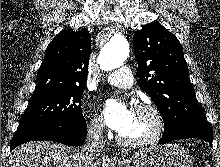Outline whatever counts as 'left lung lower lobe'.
Listing matches in <instances>:
<instances>
[{
  "label": "left lung lower lobe",
  "mask_w": 220,
  "mask_h": 167,
  "mask_svg": "<svg viewBox=\"0 0 220 167\" xmlns=\"http://www.w3.org/2000/svg\"><path fill=\"white\" fill-rule=\"evenodd\" d=\"M199 138L209 143L212 147L213 134L208 121L193 123L183 128L179 133L163 135L158 144H165L178 139Z\"/></svg>",
  "instance_id": "obj_1"
}]
</instances>
